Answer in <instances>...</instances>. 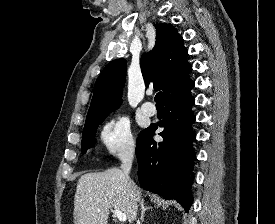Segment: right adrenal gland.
I'll use <instances>...</instances> for the list:
<instances>
[{"mask_svg":"<svg viewBox=\"0 0 275 224\" xmlns=\"http://www.w3.org/2000/svg\"><path fill=\"white\" fill-rule=\"evenodd\" d=\"M140 205H141V217H140V221L138 222V224H141L144 221L145 212L147 210L152 209V207H146L143 201L140 203Z\"/></svg>","mask_w":275,"mask_h":224,"instance_id":"obj_1","label":"right adrenal gland"}]
</instances>
